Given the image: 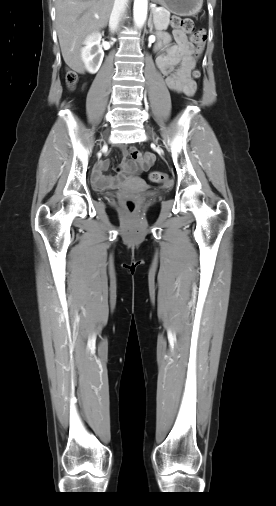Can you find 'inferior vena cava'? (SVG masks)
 I'll use <instances>...</instances> for the list:
<instances>
[{
  "mask_svg": "<svg viewBox=\"0 0 276 506\" xmlns=\"http://www.w3.org/2000/svg\"><path fill=\"white\" fill-rule=\"evenodd\" d=\"M127 4L128 0H114V5L109 20V27L112 32L117 29L120 18L125 12Z\"/></svg>",
  "mask_w": 276,
  "mask_h": 506,
  "instance_id": "1",
  "label": "inferior vena cava"
}]
</instances>
